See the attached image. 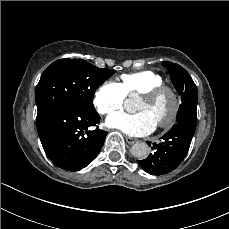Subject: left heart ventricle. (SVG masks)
Returning <instances> with one entry per match:
<instances>
[{
  "label": "left heart ventricle",
  "instance_id": "1",
  "mask_svg": "<svg viewBox=\"0 0 229 229\" xmlns=\"http://www.w3.org/2000/svg\"><path fill=\"white\" fill-rule=\"evenodd\" d=\"M174 103L171 96L167 93L163 94L155 101H149L141 98L136 110L144 111L156 122L166 121L172 114Z\"/></svg>",
  "mask_w": 229,
  "mask_h": 229
}]
</instances>
